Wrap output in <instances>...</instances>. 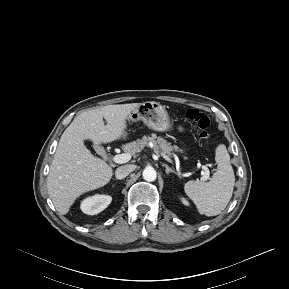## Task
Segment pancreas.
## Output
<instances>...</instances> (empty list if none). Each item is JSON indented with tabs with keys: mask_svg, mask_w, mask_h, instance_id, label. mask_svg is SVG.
<instances>
[{
	"mask_svg": "<svg viewBox=\"0 0 289 289\" xmlns=\"http://www.w3.org/2000/svg\"><path fill=\"white\" fill-rule=\"evenodd\" d=\"M150 143L152 144L153 150L156 154L170 157L173 155L174 151H177L176 146H171L168 141L162 137H157L155 134L150 136L145 135L137 141L127 143L123 146V150L130 155H135L144 147L149 146Z\"/></svg>",
	"mask_w": 289,
	"mask_h": 289,
	"instance_id": "obj_1",
	"label": "pancreas"
}]
</instances>
